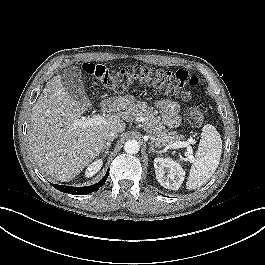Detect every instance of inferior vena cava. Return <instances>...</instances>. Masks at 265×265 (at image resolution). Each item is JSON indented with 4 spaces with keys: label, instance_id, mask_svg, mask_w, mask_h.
Returning a JSON list of instances; mask_svg holds the SVG:
<instances>
[{
    "label": "inferior vena cava",
    "instance_id": "inferior-vena-cava-1",
    "mask_svg": "<svg viewBox=\"0 0 265 265\" xmlns=\"http://www.w3.org/2000/svg\"><path fill=\"white\" fill-rule=\"evenodd\" d=\"M117 137H118V133L115 132V131H109V132H105V133L103 134V138H104L105 140H107V141H109V140H113V139H115V138H117Z\"/></svg>",
    "mask_w": 265,
    "mask_h": 265
}]
</instances>
